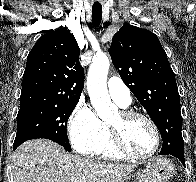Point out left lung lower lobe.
Wrapping results in <instances>:
<instances>
[{"instance_id": "1", "label": "left lung lower lobe", "mask_w": 196, "mask_h": 182, "mask_svg": "<svg viewBox=\"0 0 196 182\" xmlns=\"http://www.w3.org/2000/svg\"><path fill=\"white\" fill-rule=\"evenodd\" d=\"M169 153H170V155L178 158L182 162V164L185 166L184 153H178V152H174V151H171ZM160 154H161V152H160ZM161 155H163V154H161ZM166 155H169V154H166Z\"/></svg>"}]
</instances>
